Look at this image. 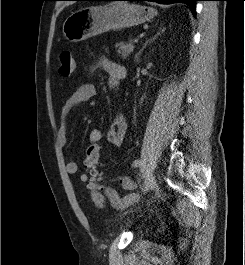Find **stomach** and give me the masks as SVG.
Masks as SVG:
<instances>
[{
	"mask_svg": "<svg viewBox=\"0 0 245 265\" xmlns=\"http://www.w3.org/2000/svg\"><path fill=\"white\" fill-rule=\"evenodd\" d=\"M157 11L130 3L88 6L69 15L63 23L64 37L73 43L86 40L109 30L137 26L151 20Z\"/></svg>",
	"mask_w": 245,
	"mask_h": 265,
	"instance_id": "obj_1",
	"label": "stomach"
}]
</instances>
